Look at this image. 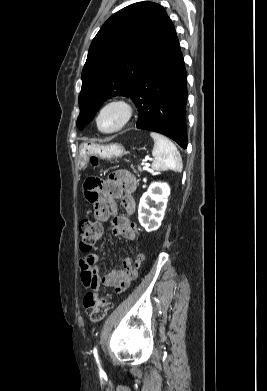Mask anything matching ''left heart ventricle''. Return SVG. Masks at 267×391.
<instances>
[{
  "instance_id": "1",
  "label": "left heart ventricle",
  "mask_w": 267,
  "mask_h": 391,
  "mask_svg": "<svg viewBox=\"0 0 267 391\" xmlns=\"http://www.w3.org/2000/svg\"><path fill=\"white\" fill-rule=\"evenodd\" d=\"M123 111L117 106H112L103 111L100 117V127L105 130L117 128L123 120Z\"/></svg>"
}]
</instances>
